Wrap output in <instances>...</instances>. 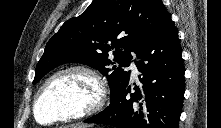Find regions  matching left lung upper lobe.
Listing matches in <instances>:
<instances>
[{
	"label": "left lung upper lobe",
	"instance_id": "left-lung-upper-lobe-1",
	"mask_svg": "<svg viewBox=\"0 0 221 128\" xmlns=\"http://www.w3.org/2000/svg\"><path fill=\"white\" fill-rule=\"evenodd\" d=\"M167 15L162 0H93L49 40L33 83L61 64L82 63L107 77L112 100L128 85L130 71L123 67L129 66L131 54L137 53Z\"/></svg>",
	"mask_w": 221,
	"mask_h": 128
}]
</instances>
